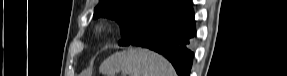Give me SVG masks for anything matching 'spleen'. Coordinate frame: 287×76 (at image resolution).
<instances>
[{
    "label": "spleen",
    "mask_w": 287,
    "mask_h": 76,
    "mask_svg": "<svg viewBox=\"0 0 287 76\" xmlns=\"http://www.w3.org/2000/svg\"><path fill=\"white\" fill-rule=\"evenodd\" d=\"M106 76H175L172 65L161 55L142 48H128L109 56L100 66Z\"/></svg>",
    "instance_id": "spleen-1"
}]
</instances>
